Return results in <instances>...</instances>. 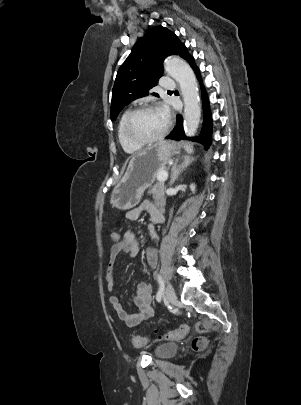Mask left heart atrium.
<instances>
[{
  "mask_svg": "<svg viewBox=\"0 0 301 405\" xmlns=\"http://www.w3.org/2000/svg\"><path fill=\"white\" fill-rule=\"evenodd\" d=\"M158 111H159L163 116H165L166 118H167L168 115H169V111H168V109H167L165 106L160 107Z\"/></svg>",
  "mask_w": 301,
  "mask_h": 405,
  "instance_id": "left-heart-atrium-1",
  "label": "left heart atrium"
}]
</instances>
